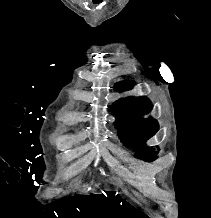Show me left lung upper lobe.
<instances>
[{"mask_svg": "<svg viewBox=\"0 0 211 218\" xmlns=\"http://www.w3.org/2000/svg\"><path fill=\"white\" fill-rule=\"evenodd\" d=\"M133 81L117 83V91L131 89ZM113 114L116 115L118 135L127 147L136 149V155L145 161H153L157 158V152L150 147H145V142L158 131L159 126L152 118L143 119L142 116L152 109L151 102L146 97H129L120 99L113 105Z\"/></svg>", "mask_w": 211, "mask_h": 218, "instance_id": "left-lung-upper-lobe-1", "label": "left lung upper lobe"}]
</instances>
